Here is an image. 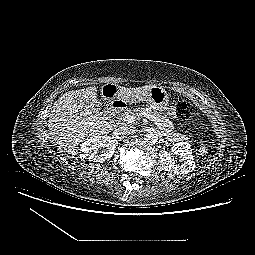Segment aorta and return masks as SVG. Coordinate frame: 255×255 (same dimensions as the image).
I'll list each match as a JSON object with an SVG mask.
<instances>
[{
    "label": "aorta",
    "instance_id": "1",
    "mask_svg": "<svg viewBox=\"0 0 255 255\" xmlns=\"http://www.w3.org/2000/svg\"><path fill=\"white\" fill-rule=\"evenodd\" d=\"M144 140L145 142L148 144V145H154L157 143V136L153 133H148L145 135L144 137Z\"/></svg>",
    "mask_w": 255,
    "mask_h": 255
}]
</instances>
